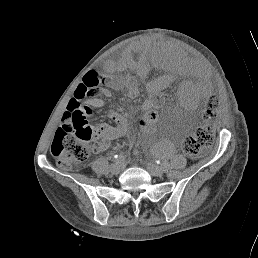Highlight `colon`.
Returning a JSON list of instances; mask_svg holds the SVG:
<instances>
[{"label":"colon","instance_id":"1","mask_svg":"<svg viewBox=\"0 0 258 258\" xmlns=\"http://www.w3.org/2000/svg\"><path fill=\"white\" fill-rule=\"evenodd\" d=\"M102 79L100 73L88 72L83 84L77 88L75 97L68 104V112L56 131L51 145L52 155L62 169H71L81 164L95 148V140L100 135V129L89 124L79 102L88 95L95 94L94 88L102 82ZM218 103L216 96L207 99L203 113L206 123L214 121ZM214 137V132L209 126L200 127L185 138L182 150L189 156H198L214 143Z\"/></svg>","mask_w":258,"mask_h":258}]
</instances>
